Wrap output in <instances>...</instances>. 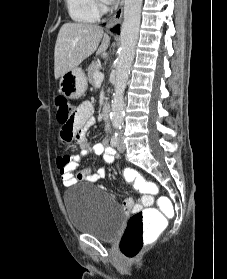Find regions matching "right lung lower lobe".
I'll return each instance as SVG.
<instances>
[{
  "mask_svg": "<svg viewBox=\"0 0 227 279\" xmlns=\"http://www.w3.org/2000/svg\"><path fill=\"white\" fill-rule=\"evenodd\" d=\"M112 31H113V32L119 33V25H117L116 27H114V28L112 29Z\"/></svg>",
  "mask_w": 227,
  "mask_h": 279,
  "instance_id": "98d812e1",
  "label": "right lung lower lobe"
}]
</instances>
